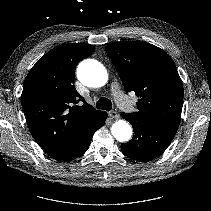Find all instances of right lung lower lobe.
Instances as JSON below:
<instances>
[{"mask_svg":"<svg viewBox=\"0 0 211 211\" xmlns=\"http://www.w3.org/2000/svg\"><path fill=\"white\" fill-rule=\"evenodd\" d=\"M106 118L107 114L104 112L92 124L87 126L65 149L51 157L65 162L81 156L88 149L94 132L105 124Z\"/></svg>","mask_w":211,"mask_h":211,"instance_id":"obj_1","label":"right lung lower lobe"}]
</instances>
